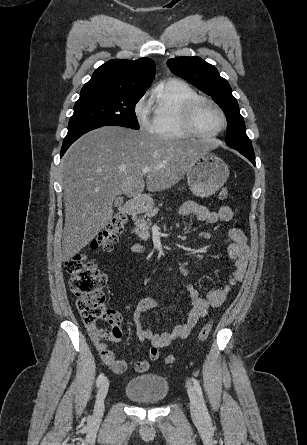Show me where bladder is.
Wrapping results in <instances>:
<instances>
[{
	"label": "bladder",
	"mask_w": 307,
	"mask_h": 445,
	"mask_svg": "<svg viewBox=\"0 0 307 445\" xmlns=\"http://www.w3.org/2000/svg\"><path fill=\"white\" fill-rule=\"evenodd\" d=\"M169 393V383L161 375L146 373L132 377L125 385V394L131 400L144 405H157Z\"/></svg>",
	"instance_id": "31cf9c89"
}]
</instances>
